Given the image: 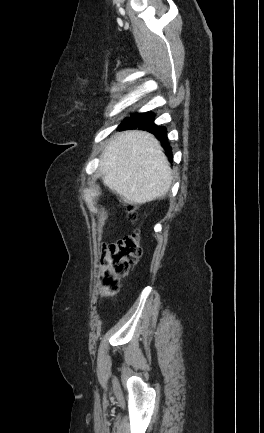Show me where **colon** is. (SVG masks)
I'll list each match as a JSON object with an SVG mask.
<instances>
[{"label":"colon","instance_id":"obj_1","mask_svg":"<svg viewBox=\"0 0 264 433\" xmlns=\"http://www.w3.org/2000/svg\"><path fill=\"white\" fill-rule=\"evenodd\" d=\"M127 213L131 220H135L137 207L133 204L127 205ZM141 255L142 248L138 232L103 247L100 265L102 269L101 291L104 295L111 296L117 293L120 278L128 274Z\"/></svg>","mask_w":264,"mask_h":433}]
</instances>
